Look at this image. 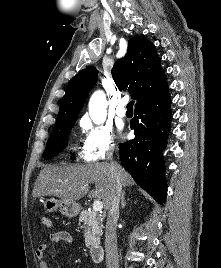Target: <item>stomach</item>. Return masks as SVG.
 I'll return each mask as SVG.
<instances>
[{
  "label": "stomach",
  "instance_id": "1",
  "mask_svg": "<svg viewBox=\"0 0 221 268\" xmlns=\"http://www.w3.org/2000/svg\"><path fill=\"white\" fill-rule=\"evenodd\" d=\"M43 207L47 212L59 210L62 215L68 218L76 217L80 211V206L75 201L58 200L55 198L45 199L43 201Z\"/></svg>",
  "mask_w": 221,
  "mask_h": 268
}]
</instances>
